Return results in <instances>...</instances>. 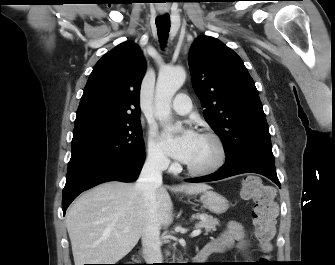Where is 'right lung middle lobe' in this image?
Masks as SVG:
<instances>
[{
	"instance_id": "1",
	"label": "right lung middle lobe",
	"mask_w": 335,
	"mask_h": 265,
	"mask_svg": "<svg viewBox=\"0 0 335 265\" xmlns=\"http://www.w3.org/2000/svg\"><path fill=\"white\" fill-rule=\"evenodd\" d=\"M68 168L93 160L131 161L144 156L139 120L74 128Z\"/></svg>"
}]
</instances>
